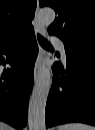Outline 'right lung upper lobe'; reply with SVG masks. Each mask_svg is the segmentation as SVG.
<instances>
[{
	"mask_svg": "<svg viewBox=\"0 0 95 130\" xmlns=\"http://www.w3.org/2000/svg\"><path fill=\"white\" fill-rule=\"evenodd\" d=\"M36 0H0V47L33 30Z\"/></svg>",
	"mask_w": 95,
	"mask_h": 130,
	"instance_id": "obj_1",
	"label": "right lung upper lobe"
}]
</instances>
